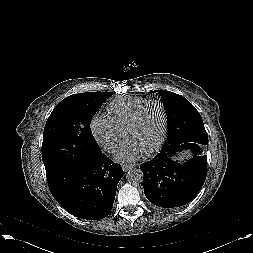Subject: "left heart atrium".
Segmentation results:
<instances>
[{
    "instance_id": "left-heart-atrium-1",
    "label": "left heart atrium",
    "mask_w": 253,
    "mask_h": 253,
    "mask_svg": "<svg viewBox=\"0 0 253 253\" xmlns=\"http://www.w3.org/2000/svg\"><path fill=\"white\" fill-rule=\"evenodd\" d=\"M146 150L136 141L128 139L115 154V158L121 162H132L139 159Z\"/></svg>"
}]
</instances>
